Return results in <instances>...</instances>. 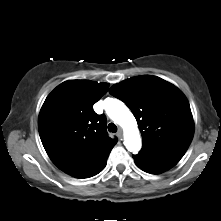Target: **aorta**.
Here are the masks:
<instances>
[{"mask_svg":"<svg viewBox=\"0 0 221 221\" xmlns=\"http://www.w3.org/2000/svg\"><path fill=\"white\" fill-rule=\"evenodd\" d=\"M106 112L110 119L124 129V145L128 151L136 154L141 149L142 142L134 115L128 107L118 99H109Z\"/></svg>","mask_w":221,"mask_h":221,"instance_id":"762f6f07","label":"aorta"}]
</instances>
